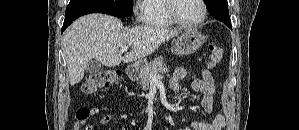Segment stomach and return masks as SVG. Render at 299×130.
Here are the masks:
<instances>
[{"mask_svg":"<svg viewBox=\"0 0 299 130\" xmlns=\"http://www.w3.org/2000/svg\"><path fill=\"white\" fill-rule=\"evenodd\" d=\"M205 36L194 28L185 30L176 40L173 45V52L176 55H189L203 45ZM147 65L146 60H139L132 64L129 69L140 70Z\"/></svg>","mask_w":299,"mask_h":130,"instance_id":"0dacf381","label":"stomach"}]
</instances>
